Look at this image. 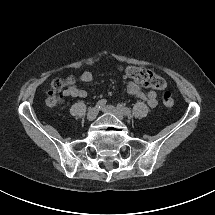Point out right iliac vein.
Listing matches in <instances>:
<instances>
[{
  "mask_svg": "<svg viewBox=\"0 0 215 215\" xmlns=\"http://www.w3.org/2000/svg\"><path fill=\"white\" fill-rule=\"evenodd\" d=\"M98 114V108L96 107H92L89 109L88 113H87V120L92 121L96 118Z\"/></svg>",
  "mask_w": 215,
  "mask_h": 215,
  "instance_id": "1",
  "label": "right iliac vein"
}]
</instances>
